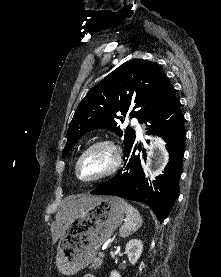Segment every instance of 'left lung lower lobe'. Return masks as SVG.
I'll list each match as a JSON object with an SVG mask.
<instances>
[{
	"label": "left lung lower lobe",
	"mask_w": 221,
	"mask_h": 277,
	"mask_svg": "<svg viewBox=\"0 0 221 277\" xmlns=\"http://www.w3.org/2000/svg\"><path fill=\"white\" fill-rule=\"evenodd\" d=\"M146 134L162 137L169 152V163L164 174L148 182L141 167L140 156L135 154L141 146L134 142L126 156L123 170L96 187L91 194L116 195L125 199L147 203L162 223L171 211L178 192L184 155L185 129L180 102L176 94L149 118Z\"/></svg>",
	"instance_id": "obj_1"
}]
</instances>
